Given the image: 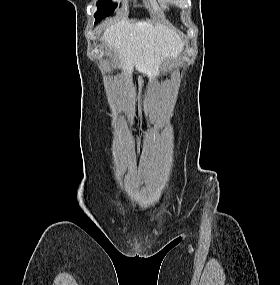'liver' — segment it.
<instances>
[{
  "mask_svg": "<svg viewBox=\"0 0 280 285\" xmlns=\"http://www.w3.org/2000/svg\"><path fill=\"white\" fill-rule=\"evenodd\" d=\"M102 40L110 52L117 53L124 72L131 76L135 67L150 80L158 76L163 62L176 59L184 47L174 30L150 20L122 19L106 29Z\"/></svg>",
  "mask_w": 280,
  "mask_h": 285,
  "instance_id": "liver-1",
  "label": "liver"
}]
</instances>
